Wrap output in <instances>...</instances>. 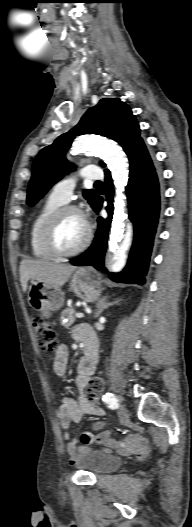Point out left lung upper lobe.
I'll list each match as a JSON object with an SVG mask.
<instances>
[{"label": "left lung upper lobe", "instance_id": "left-lung-upper-lobe-1", "mask_svg": "<svg viewBox=\"0 0 192 527\" xmlns=\"http://www.w3.org/2000/svg\"><path fill=\"white\" fill-rule=\"evenodd\" d=\"M82 134H98L113 139L122 146L127 155L137 144L143 142L139 124L128 105L118 98L100 100L83 115L73 129L59 136L51 145L39 152L34 160L28 187V205L33 206L37 203L48 189L70 170L65 153L73 139ZM101 165L105 166L104 163ZM83 195L95 210L99 199L95 190H85Z\"/></svg>", "mask_w": 192, "mask_h": 527}]
</instances>
